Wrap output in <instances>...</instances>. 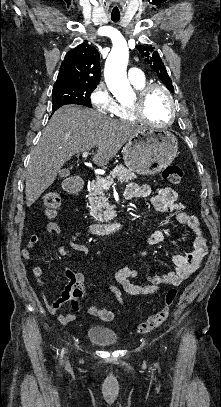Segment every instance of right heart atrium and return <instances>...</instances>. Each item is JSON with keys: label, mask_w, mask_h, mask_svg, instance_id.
Instances as JSON below:
<instances>
[{"label": "right heart atrium", "mask_w": 221, "mask_h": 407, "mask_svg": "<svg viewBox=\"0 0 221 407\" xmlns=\"http://www.w3.org/2000/svg\"><path fill=\"white\" fill-rule=\"evenodd\" d=\"M90 102L96 111L103 114H114L117 102L104 83H99L90 94Z\"/></svg>", "instance_id": "1"}]
</instances>
